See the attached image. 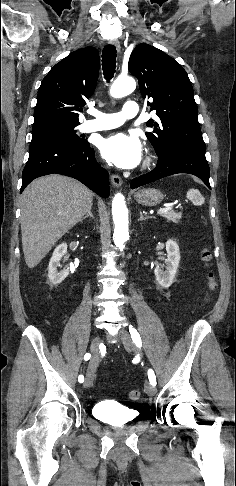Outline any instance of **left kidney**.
Segmentation results:
<instances>
[{
  "instance_id": "left-kidney-1",
  "label": "left kidney",
  "mask_w": 236,
  "mask_h": 486,
  "mask_svg": "<svg viewBox=\"0 0 236 486\" xmlns=\"http://www.w3.org/2000/svg\"><path fill=\"white\" fill-rule=\"evenodd\" d=\"M167 259L165 265L156 267L154 274L160 286L168 288L173 283L180 263L178 244L173 240L166 242ZM165 268V270H164Z\"/></svg>"
}]
</instances>
